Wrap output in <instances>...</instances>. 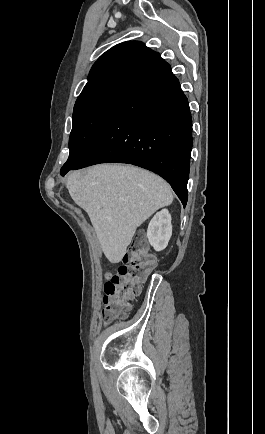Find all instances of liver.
I'll return each instance as SVG.
<instances>
[{"label":"liver","mask_w":265,"mask_h":434,"mask_svg":"<svg viewBox=\"0 0 265 434\" xmlns=\"http://www.w3.org/2000/svg\"><path fill=\"white\" fill-rule=\"evenodd\" d=\"M66 186L75 204L87 212L111 264L124 258L136 228L173 202L165 180L134 166L100 164L71 172Z\"/></svg>","instance_id":"6515ba94"}]
</instances>
